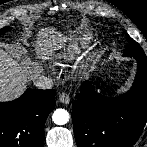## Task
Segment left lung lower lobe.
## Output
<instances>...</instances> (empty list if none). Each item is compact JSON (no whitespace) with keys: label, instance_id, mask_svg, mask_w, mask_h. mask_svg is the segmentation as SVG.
<instances>
[{"label":"left lung lower lobe","instance_id":"obj_1","mask_svg":"<svg viewBox=\"0 0 147 147\" xmlns=\"http://www.w3.org/2000/svg\"><path fill=\"white\" fill-rule=\"evenodd\" d=\"M72 110L78 147L133 146L147 120V63L138 61L131 89L117 98L98 94L85 81Z\"/></svg>","mask_w":147,"mask_h":147}]
</instances>
